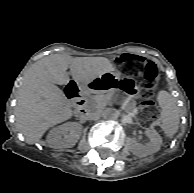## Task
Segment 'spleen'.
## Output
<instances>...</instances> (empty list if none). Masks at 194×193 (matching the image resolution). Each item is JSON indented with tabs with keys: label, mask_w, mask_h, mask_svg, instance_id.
Here are the masks:
<instances>
[{
	"label": "spleen",
	"mask_w": 194,
	"mask_h": 193,
	"mask_svg": "<svg viewBox=\"0 0 194 193\" xmlns=\"http://www.w3.org/2000/svg\"><path fill=\"white\" fill-rule=\"evenodd\" d=\"M157 99L162 108L160 113L161 129L167 137L171 138L178 131L180 123L176 100L167 91H160Z\"/></svg>",
	"instance_id": "spleen-1"
}]
</instances>
